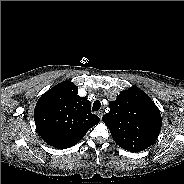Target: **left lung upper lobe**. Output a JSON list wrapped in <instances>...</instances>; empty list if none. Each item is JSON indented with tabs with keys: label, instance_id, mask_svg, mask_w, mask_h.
<instances>
[{
	"label": "left lung upper lobe",
	"instance_id": "left-lung-upper-lobe-1",
	"mask_svg": "<svg viewBox=\"0 0 184 184\" xmlns=\"http://www.w3.org/2000/svg\"><path fill=\"white\" fill-rule=\"evenodd\" d=\"M110 112L102 120L114 141L123 149L139 152L150 147L158 138L162 118L158 107L137 86L123 90L109 103Z\"/></svg>",
	"mask_w": 184,
	"mask_h": 184
}]
</instances>
